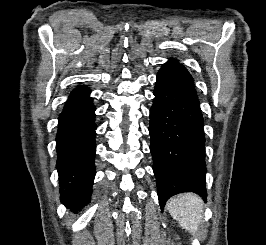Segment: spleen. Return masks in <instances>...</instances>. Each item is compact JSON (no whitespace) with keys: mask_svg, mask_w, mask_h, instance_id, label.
Segmentation results:
<instances>
[{"mask_svg":"<svg viewBox=\"0 0 266 245\" xmlns=\"http://www.w3.org/2000/svg\"><path fill=\"white\" fill-rule=\"evenodd\" d=\"M203 201L194 195V193H185V195H177V197H172L167 203V209L181 225L182 229L196 235L199 231V227L203 219Z\"/></svg>","mask_w":266,"mask_h":245,"instance_id":"spleen-1","label":"spleen"}]
</instances>
